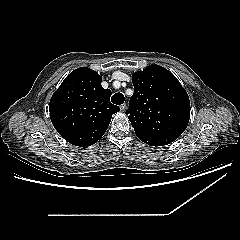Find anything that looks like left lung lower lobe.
Here are the masks:
<instances>
[{"label": "left lung lower lobe", "mask_w": 240, "mask_h": 240, "mask_svg": "<svg viewBox=\"0 0 240 240\" xmlns=\"http://www.w3.org/2000/svg\"><path fill=\"white\" fill-rule=\"evenodd\" d=\"M173 141L174 140L167 139V138H154V139L144 140L143 142L150 146H164Z\"/></svg>", "instance_id": "obj_1"}]
</instances>
